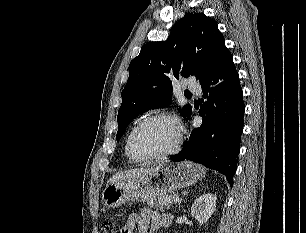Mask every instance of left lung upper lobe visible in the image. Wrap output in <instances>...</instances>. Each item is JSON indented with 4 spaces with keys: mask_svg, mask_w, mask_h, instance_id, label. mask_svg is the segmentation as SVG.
Returning a JSON list of instances; mask_svg holds the SVG:
<instances>
[{
    "mask_svg": "<svg viewBox=\"0 0 306 233\" xmlns=\"http://www.w3.org/2000/svg\"><path fill=\"white\" fill-rule=\"evenodd\" d=\"M228 51L217 22L203 13H187L172 28L166 41L149 42L129 65V79L118 111L119 140L139 114L166 107L171 102L172 83L179 77L206 79ZM191 105L179 112L187 118Z\"/></svg>",
    "mask_w": 306,
    "mask_h": 233,
    "instance_id": "5c2ea615",
    "label": "left lung upper lobe"
}]
</instances>
